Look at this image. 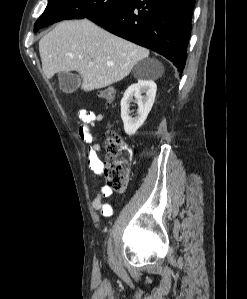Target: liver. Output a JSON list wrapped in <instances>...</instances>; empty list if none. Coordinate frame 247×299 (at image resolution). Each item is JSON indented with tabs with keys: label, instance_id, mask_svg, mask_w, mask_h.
Here are the masks:
<instances>
[{
	"label": "liver",
	"instance_id": "6515ba94",
	"mask_svg": "<svg viewBox=\"0 0 247 299\" xmlns=\"http://www.w3.org/2000/svg\"><path fill=\"white\" fill-rule=\"evenodd\" d=\"M39 53L47 78L58 72L77 71L83 78L81 89L86 92L124 79L140 60L149 56L147 49L88 19L59 23L40 39Z\"/></svg>",
	"mask_w": 247,
	"mask_h": 299
}]
</instances>
